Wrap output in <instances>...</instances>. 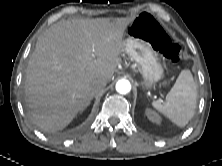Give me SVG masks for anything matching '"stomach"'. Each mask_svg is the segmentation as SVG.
Segmentation results:
<instances>
[{"label":"stomach","instance_id":"obj_1","mask_svg":"<svg viewBox=\"0 0 222 166\" xmlns=\"http://www.w3.org/2000/svg\"><path fill=\"white\" fill-rule=\"evenodd\" d=\"M123 51L137 64L142 75L143 85L151 88L163 76V67L158 61L154 50L143 39L129 35L124 41Z\"/></svg>","mask_w":222,"mask_h":166}]
</instances>
